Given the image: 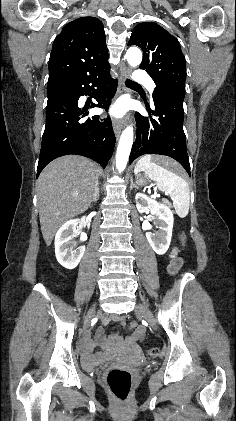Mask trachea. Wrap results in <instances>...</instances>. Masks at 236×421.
Returning <instances> with one entry per match:
<instances>
[{
    "instance_id": "trachea-1",
    "label": "trachea",
    "mask_w": 236,
    "mask_h": 421,
    "mask_svg": "<svg viewBox=\"0 0 236 421\" xmlns=\"http://www.w3.org/2000/svg\"><path fill=\"white\" fill-rule=\"evenodd\" d=\"M126 86L127 87H140V85L138 84V83H136V82H133V80H126Z\"/></svg>"
}]
</instances>
